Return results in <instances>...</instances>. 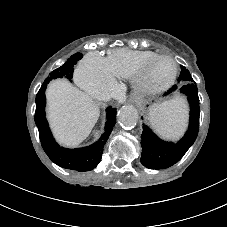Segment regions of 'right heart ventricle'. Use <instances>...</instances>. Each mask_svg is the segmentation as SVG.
Masks as SVG:
<instances>
[{
	"label": "right heart ventricle",
	"instance_id": "1",
	"mask_svg": "<svg viewBox=\"0 0 227 227\" xmlns=\"http://www.w3.org/2000/svg\"><path fill=\"white\" fill-rule=\"evenodd\" d=\"M158 55L152 51L121 48L108 57V65L113 75L120 78H134L146 63Z\"/></svg>",
	"mask_w": 227,
	"mask_h": 227
}]
</instances>
